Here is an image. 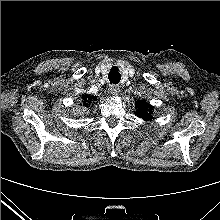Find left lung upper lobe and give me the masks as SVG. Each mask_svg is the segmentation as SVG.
I'll list each match as a JSON object with an SVG mask.
<instances>
[{
  "label": "left lung upper lobe",
  "mask_w": 220,
  "mask_h": 220,
  "mask_svg": "<svg viewBox=\"0 0 220 220\" xmlns=\"http://www.w3.org/2000/svg\"><path fill=\"white\" fill-rule=\"evenodd\" d=\"M137 112L135 114L145 121L152 120V106L144 100H138L136 102Z\"/></svg>",
  "instance_id": "5c2ea615"
}]
</instances>
